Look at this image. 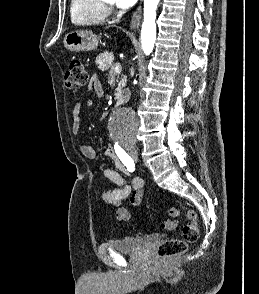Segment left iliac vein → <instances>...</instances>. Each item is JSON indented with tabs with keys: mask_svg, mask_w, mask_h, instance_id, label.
<instances>
[{
	"mask_svg": "<svg viewBox=\"0 0 259 294\" xmlns=\"http://www.w3.org/2000/svg\"><path fill=\"white\" fill-rule=\"evenodd\" d=\"M132 158L137 162L138 161V155H137V153H135L134 155H132Z\"/></svg>",
	"mask_w": 259,
	"mask_h": 294,
	"instance_id": "left-iliac-vein-1",
	"label": "left iliac vein"
}]
</instances>
